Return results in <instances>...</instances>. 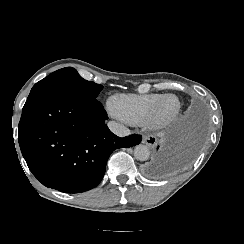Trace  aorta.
Wrapping results in <instances>:
<instances>
[{
    "label": "aorta",
    "instance_id": "aorta-1",
    "mask_svg": "<svg viewBox=\"0 0 244 244\" xmlns=\"http://www.w3.org/2000/svg\"><path fill=\"white\" fill-rule=\"evenodd\" d=\"M134 157L139 161H146L150 157V150L146 145L139 144L134 148Z\"/></svg>",
    "mask_w": 244,
    "mask_h": 244
}]
</instances>
